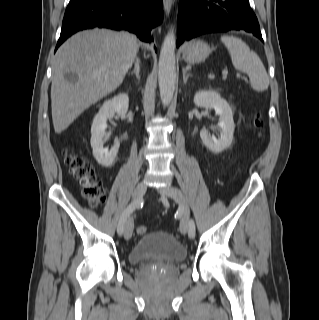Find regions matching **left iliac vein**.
<instances>
[{
    "instance_id": "obj_1",
    "label": "left iliac vein",
    "mask_w": 319,
    "mask_h": 320,
    "mask_svg": "<svg viewBox=\"0 0 319 320\" xmlns=\"http://www.w3.org/2000/svg\"><path fill=\"white\" fill-rule=\"evenodd\" d=\"M158 191L162 196H170L178 203L182 212L180 231L182 234L189 233L190 209L183 193L173 186H164L159 188Z\"/></svg>"
}]
</instances>
